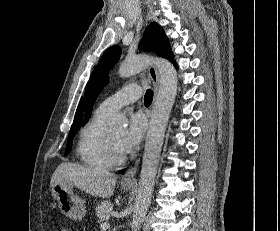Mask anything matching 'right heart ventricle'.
<instances>
[{"instance_id":"right-heart-ventricle-1","label":"right heart ventricle","mask_w":280,"mask_h":231,"mask_svg":"<svg viewBox=\"0 0 280 231\" xmlns=\"http://www.w3.org/2000/svg\"><path fill=\"white\" fill-rule=\"evenodd\" d=\"M109 114L96 110L82 128L76 143V155L82 165L92 169H106L107 158L105 119Z\"/></svg>"}]
</instances>
